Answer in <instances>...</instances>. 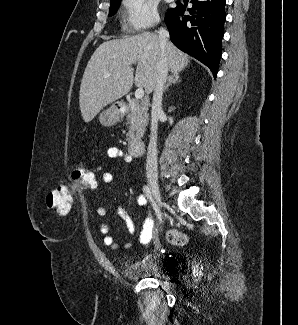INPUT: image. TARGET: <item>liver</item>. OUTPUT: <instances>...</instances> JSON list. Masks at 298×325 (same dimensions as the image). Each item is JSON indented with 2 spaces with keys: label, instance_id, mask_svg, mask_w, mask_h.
Masks as SVG:
<instances>
[{
  "label": "liver",
  "instance_id": "6515ba94",
  "mask_svg": "<svg viewBox=\"0 0 298 325\" xmlns=\"http://www.w3.org/2000/svg\"><path fill=\"white\" fill-rule=\"evenodd\" d=\"M162 50L166 52L170 72H181L188 66L190 56L171 40H166L165 48H161L156 32H141L99 44L80 84L79 106L83 120H93L106 104L127 94L132 84L144 86L145 92L150 94L155 88ZM135 62H138L136 70L131 66Z\"/></svg>",
  "mask_w": 298,
  "mask_h": 325
}]
</instances>
